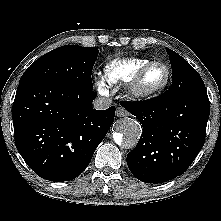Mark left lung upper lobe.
I'll list each match as a JSON object with an SVG mask.
<instances>
[{
    "mask_svg": "<svg viewBox=\"0 0 221 221\" xmlns=\"http://www.w3.org/2000/svg\"><path fill=\"white\" fill-rule=\"evenodd\" d=\"M169 54L173 78L171 88L164 96L170 100L193 93L206 91L204 82L199 73L179 54L167 49Z\"/></svg>",
    "mask_w": 221,
    "mask_h": 221,
    "instance_id": "5c2ea615",
    "label": "left lung upper lobe"
}]
</instances>
